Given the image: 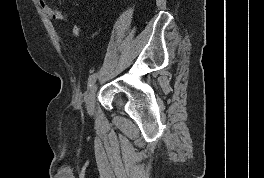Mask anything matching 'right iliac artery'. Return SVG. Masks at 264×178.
Wrapping results in <instances>:
<instances>
[{
  "instance_id": "right-iliac-artery-1",
  "label": "right iliac artery",
  "mask_w": 264,
  "mask_h": 178,
  "mask_svg": "<svg viewBox=\"0 0 264 178\" xmlns=\"http://www.w3.org/2000/svg\"><path fill=\"white\" fill-rule=\"evenodd\" d=\"M96 76H97L96 73H94V74H92V75L89 76V79H88V88H91L92 84L95 82Z\"/></svg>"
}]
</instances>
